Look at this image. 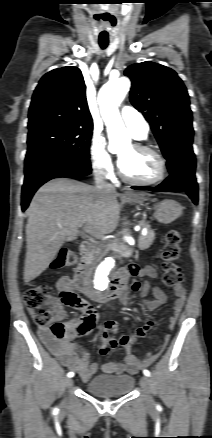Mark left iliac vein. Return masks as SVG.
Here are the masks:
<instances>
[{
  "mask_svg": "<svg viewBox=\"0 0 212 438\" xmlns=\"http://www.w3.org/2000/svg\"><path fill=\"white\" fill-rule=\"evenodd\" d=\"M140 384L146 393V401H147L148 406H153L154 401H153V398L151 396L150 379L147 376H142L140 379Z\"/></svg>",
  "mask_w": 212,
  "mask_h": 438,
  "instance_id": "4c4485c4",
  "label": "left iliac vein"
}]
</instances>
